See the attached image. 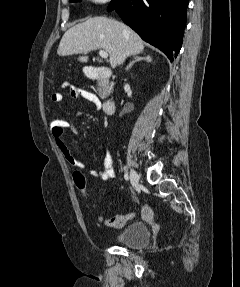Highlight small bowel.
Wrapping results in <instances>:
<instances>
[{
    "label": "small bowel",
    "mask_w": 240,
    "mask_h": 287,
    "mask_svg": "<svg viewBox=\"0 0 240 287\" xmlns=\"http://www.w3.org/2000/svg\"><path fill=\"white\" fill-rule=\"evenodd\" d=\"M63 88L69 89L70 95L74 99H83L93 104L95 108L100 107V101L94 93L82 88L71 87L68 83H63ZM63 98H64L63 95L59 92H55L51 96V100L55 103L62 102ZM81 115L82 113L79 112L73 118H71L68 121L67 129L71 130L72 132H76L77 119ZM53 138L60 153L72 167L77 168L79 170H86L89 173V175L101 178L103 180H109L114 177L115 175L114 162H113V156L110 151L106 152L101 169L99 170L89 169V167L85 163L81 162L74 156L69 146L65 142L63 135L62 136L53 135ZM141 216L145 220L151 219L152 217L151 208L147 205L143 206L141 208Z\"/></svg>",
    "instance_id": "1"
}]
</instances>
